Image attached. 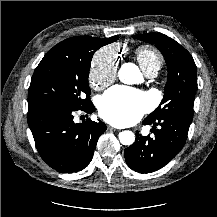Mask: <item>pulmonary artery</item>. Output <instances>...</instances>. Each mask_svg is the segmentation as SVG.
Masks as SVG:
<instances>
[{
    "instance_id": "1",
    "label": "pulmonary artery",
    "mask_w": 217,
    "mask_h": 217,
    "mask_svg": "<svg viewBox=\"0 0 217 217\" xmlns=\"http://www.w3.org/2000/svg\"><path fill=\"white\" fill-rule=\"evenodd\" d=\"M156 74H157V71H156V70H151V71H148V72L146 73V75H147L148 77H155Z\"/></svg>"
}]
</instances>
